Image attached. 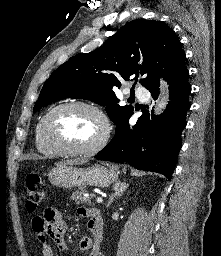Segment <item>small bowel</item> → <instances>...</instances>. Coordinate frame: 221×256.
<instances>
[{
    "label": "small bowel",
    "instance_id": "c3829d8e",
    "mask_svg": "<svg viewBox=\"0 0 221 256\" xmlns=\"http://www.w3.org/2000/svg\"><path fill=\"white\" fill-rule=\"evenodd\" d=\"M77 213L79 216L88 219V228L97 238L101 233L99 228L102 230V222L97 218L99 212L96 209L80 207L77 209ZM32 229L42 243V256H54L53 247L46 240V237H49L59 250H68L64 238L68 230V224L59 211L47 208L43 215L33 217ZM79 247L83 251H89V256H101L97 241L89 236H83L79 240Z\"/></svg>",
    "mask_w": 221,
    "mask_h": 256
}]
</instances>
